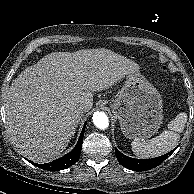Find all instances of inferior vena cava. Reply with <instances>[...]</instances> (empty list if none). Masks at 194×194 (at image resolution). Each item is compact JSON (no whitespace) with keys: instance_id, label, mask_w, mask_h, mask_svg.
I'll use <instances>...</instances> for the list:
<instances>
[{"instance_id":"inferior-vena-cava-1","label":"inferior vena cava","mask_w":194,"mask_h":194,"mask_svg":"<svg viewBox=\"0 0 194 194\" xmlns=\"http://www.w3.org/2000/svg\"><path fill=\"white\" fill-rule=\"evenodd\" d=\"M84 109H85L84 105H81V104H80V105L77 106V110H78L79 112H83Z\"/></svg>"}]
</instances>
